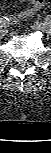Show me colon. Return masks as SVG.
Listing matches in <instances>:
<instances>
[{
  "label": "colon",
  "instance_id": "5ec220e1",
  "mask_svg": "<svg viewBox=\"0 0 51 153\" xmlns=\"http://www.w3.org/2000/svg\"><path fill=\"white\" fill-rule=\"evenodd\" d=\"M43 0H35L36 5H40Z\"/></svg>",
  "mask_w": 51,
  "mask_h": 153
}]
</instances>
